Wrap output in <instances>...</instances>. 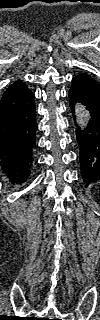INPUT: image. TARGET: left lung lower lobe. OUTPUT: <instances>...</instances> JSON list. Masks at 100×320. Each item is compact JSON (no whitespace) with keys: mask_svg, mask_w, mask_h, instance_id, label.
<instances>
[{"mask_svg":"<svg viewBox=\"0 0 100 320\" xmlns=\"http://www.w3.org/2000/svg\"><path fill=\"white\" fill-rule=\"evenodd\" d=\"M69 99L73 113L75 105L80 103L90 115L88 124L83 128L78 125L76 130L82 178L89 184L100 179V85L88 74L81 73L72 79Z\"/></svg>","mask_w":100,"mask_h":320,"instance_id":"1","label":"left lung lower lobe"}]
</instances>
